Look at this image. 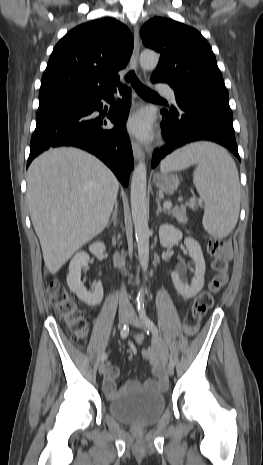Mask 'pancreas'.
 Segmentation results:
<instances>
[{"label": "pancreas", "instance_id": "1", "mask_svg": "<svg viewBox=\"0 0 263 465\" xmlns=\"http://www.w3.org/2000/svg\"><path fill=\"white\" fill-rule=\"evenodd\" d=\"M169 213L172 214V216L176 218L179 223L183 224L187 222L186 208L184 206L174 208L170 210Z\"/></svg>", "mask_w": 263, "mask_h": 465}]
</instances>
